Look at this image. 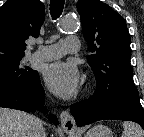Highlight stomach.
I'll list each match as a JSON object with an SVG mask.
<instances>
[{"label": "stomach", "mask_w": 144, "mask_h": 137, "mask_svg": "<svg viewBox=\"0 0 144 137\" xmlns=\"http://www.w3.org/2000/svg\"><path fill=\"white\" fill-rule=\"evenodd\" d=\"M85 137H113V133L107 126L99 124L88 130Z\"/></svg>", "instance_id": "obj_1"}]
</instances>
